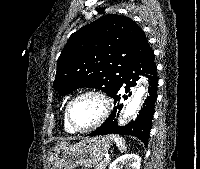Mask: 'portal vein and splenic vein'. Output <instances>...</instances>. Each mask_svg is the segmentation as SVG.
Segmentation results:
<instances>
[{"label": "portal vein and splenic vein", "instance_id": "18ae733b", "mask_svg": "<svg viewBox=\"0 0 200 169\" xmlns=\"http://www.w3.org/2000/svg\"><path fill=\"white\" fill-rule=\"evenodd\" d=\"M109 158H110L109 155L105 156V160H108Z\"/></svg>", "mask_w": 200, "mask_h": 169}]
</instances>
